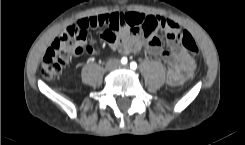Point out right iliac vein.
Wrapping results in <instances>:
<instances>
[{"label": "right iliac vein", "instance_id": "obj_1", "mask_svg": "<svg viewBox=\"0 0 245 145\" xmlns=\"http://www.w3.org/2000/svg\"><path fill=\"white\" fill-rule=\"evenodd\" d=\"M117 65H118V61L117 60H111L107 64V69L108 70H113V69H115L117 67Z\"/></svg>", "mask_w": 245, "mask_h": 145}]
</instances>
